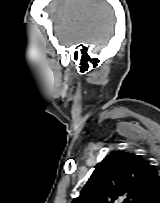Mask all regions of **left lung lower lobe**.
<instances>
[{"mask_svg": "<svg viewBox=\"0 0 160 203\" xmlns=\"http://www.w3.org/2000/svg\"><path fill=\"white\" fill-rule=\"evenodd\" d=\"M151 203H160V187L158 188V191Z\"/></svg>", "mask_w": 160, "mask_h": 203, "instance_id": "0a47b994", "label": "left lung lower lobe"}]
</instances>
